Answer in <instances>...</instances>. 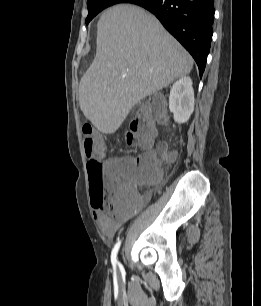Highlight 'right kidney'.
Listing matches in <instances>:
<instances>
[{
    "label": "right kidney",
    "mask_w": 261,
    "mask_h": 306,
    "mask_svg": "<svg viewBox=\"0 0 261 306\" xmlns=\"http://www.w3.org/2000/svg\"><path fill=\"white\" fill-rule=\"evenodd\" d=\"M169 109L177 123H185L194 110V90L190 77H182L170 90Z\"/></svg>",
    "instance_id": "right-kidney-1"
}]
</instances>
